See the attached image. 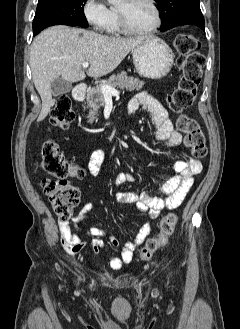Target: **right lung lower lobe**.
Segmentation results:
<instances>
[{
	"label": "right lung lower lobe",
	"mask_w": 240,
	"mask_h": 329,
	"mask_svg": "<svg viewBox=\"0 0 240 329\" xmlns=\"http://www.w3.org/2000/svg\"><path fill=\"white\" fill-rule=\"evenodd\" d=\"M46 27H43V28H40V29H38V30H36V31H34L33 32V35L35 36V35H37L39 32H41L43 29H45Z\"/></svg>",
	"instance_id": "right-lung-lower-lobe-1"
}]
</instances>
